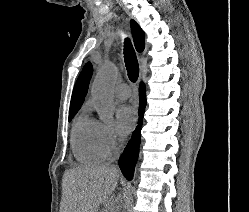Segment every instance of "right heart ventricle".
Wrapping results in <instances>:
<instances>
[{"instance_id":"e07e8e85","label":"right heart ventricle","mask_w":249,"mask_h":212,"mask_svg":"<svg viewBox=\"0 0 249 212\" xmlns=\"http://www.w3.org/2000/svg\"><path fill=\"white\" fill-rule=\"evenodd\" d=\"M99 124L87 115L75 118L71 129V149L75 159L81 163H97L102 160L97 133Z\"/></svg>"}]
</instances>
